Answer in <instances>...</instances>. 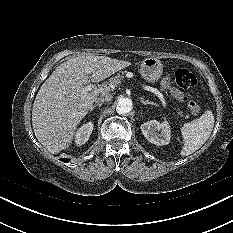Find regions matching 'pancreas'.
Wrapping results in <instances>:
<instances>
[{"mask_svg":"<svg viewBox=\"0 0 233 233\" xmlns=\"http://www.w3.org/2000/svg\"><path fill=\"white\" fill-rule=\"evenodd\" d=\"M123 74L118 73L116 76H113L110 78V83L113 84L114 86H118L121 83V80L123 79ZM178 114L180 116H185V118H189L190 116L187 115H183L182 111H179Z\"/></svg>","mask_w":233,"mask_h":233,"instance_id":"cf45deb5","label":"pancreas"}]
</instances>
